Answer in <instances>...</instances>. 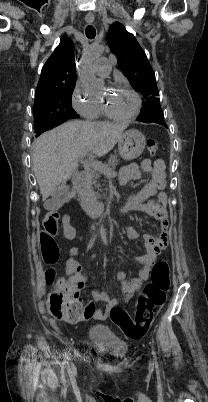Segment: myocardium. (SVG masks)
Returning <instances> with one entry per match:
<instances>
[{
    "instance_id": "obj_1",
    "label": "myocardium",
    "mask_w": 208,
    "mask_h": 402,
    "mask_svg": "<svg viewBox=\"0 0 208 402\" xmlns=\"http://www.w3.org/2000/svg\"><path fill=\"white\" fill-rule=\"evenodd\" d=\"M118 89L119 90H124L126 92H129L130 94H132L135 97V99H136V107H135V109H134V111L132 113L127 114V115H123V114H119L116 111H114L113 108L111 107V105L109 104V102L106 100L107 96L105 94L98 95V98H99V100L101 102V105L109 115H111L113 118H115L117 120L127 121V120H130V119H133L134 117H136L140 113V111L142 109V105H143L142 97L137 91L133 90L130 87L121 85V86L118 87Z\"/></svg>"
}]
</instances>
